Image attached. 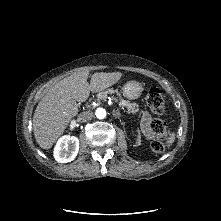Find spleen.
<instances>
[{
	"instance_id": "obj_1",
	"label": "spleen",
	"mask_w": 221,
	"mask_h": 221,
	"mask_svg": "<svg viewBox=\"0 0 221 221\" xmlns=\"http://www.w3.org/2000/svg\"><path fill=\"white\" fill-rule=\"evenodd\" d=\"M174 134H170L168 141H167V146H170L174 142Z\"/></svg>"
}]
</instances>
